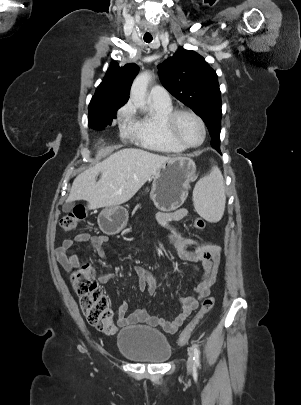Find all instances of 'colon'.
<instances>
[{
  "instance_id": "obj_1",
  "label": "colon",
  "mask_w": 301,
  "mask_h": 405,
  "mask_svg": "<svg viewBox=\"0 0 301 405\" xmlns=\"http://www.w3.org/2000/svg\"><path fill=\"white\" fill-rule=\"evenodd\" d=\"M87 210L84 206H77L72 211L66 213L60 219V226L63 230L71 232L75 230L78 224L87 217ZM206 222L202 218L193 221V227L201 230L205 227ZM73 286L79 296L82 312L89 324L99 330L111 332L112 310L109 301L99 283L95 279V272L92 267L86 263L81 264L72 274ZM215 305V298L206 297L196 317L182 331L178 338V344H186L194 329L200 320L212 310Z\"/></svg>"
}]
</instances>
